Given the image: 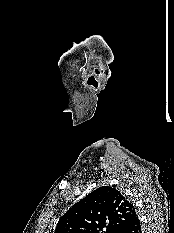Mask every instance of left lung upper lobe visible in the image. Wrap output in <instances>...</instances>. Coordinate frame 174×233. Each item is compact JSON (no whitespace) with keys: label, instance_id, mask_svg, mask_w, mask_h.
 <instances>
[{"label":"left lung upper lobe","instance_id":"1","mask_svg":"<svg viewBox=\"0 0 174 233\" xmlns=\"http://www.w3.org/2000/svg\"><path fill=\"white\" fill-rule=\"evenodd\" d=\"M135 216L134 205L120 191L102 186L72 206L54 233H119Z\"/></svg>","mask_w":174,"mask_h":233}]
</instances>
